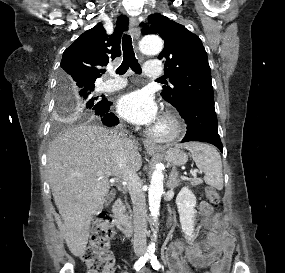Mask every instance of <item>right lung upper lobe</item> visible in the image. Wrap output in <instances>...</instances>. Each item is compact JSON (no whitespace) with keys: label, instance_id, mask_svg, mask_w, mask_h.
I'll use <instances>...</instances> for the list:
<instances>
[{"label":"right lung upper lobe","instance_id":"1","mask_svg":"<svg viewBox=\"0 0 285 273\" xmlns=\"http://www.w3.org/2000/svg\"><path fill=\"white\" fill-rule=\"evenodd\" d=\"M128 30V18L119 16L114 33L108 35L102 23L81 34L63 53L61 75L72 85H94L101 67L121 56L120 41Z\"/></svg>","mask_w":285,"mask_h":273}]
</instances>
